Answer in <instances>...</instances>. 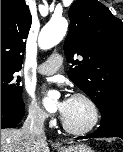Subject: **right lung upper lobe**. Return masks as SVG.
I'll return each mask as SVG.
<instances>
[{"instance_id":"obj_1","label":"right lung upper lobe","mask_w":123,"mask_h":152,"mask_svg":"<svg viewBox=\"0 0 123 152\" xmlns=\"http://www.w3.org/2000/svg\"><path fill=\"white\" fill-rule=\"evenodd\" d=\"M31 22L24 0H1V67L21 69Z\"/></svg>"}]
</instances>
